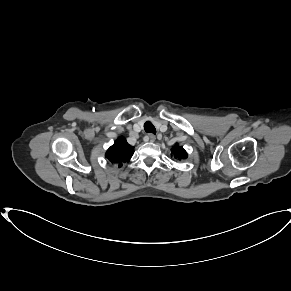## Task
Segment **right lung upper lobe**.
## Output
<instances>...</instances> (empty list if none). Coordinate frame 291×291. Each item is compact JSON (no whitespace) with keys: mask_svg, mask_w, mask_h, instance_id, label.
I'll return each mask as SVG.
<instances>
[{"mask_svg":"<svg viewBox=\"0 0 291 291\" xmlns=\"http://www.w3.org/2000/svg\"><path fill=\"white\" fill-rule=\"evenodd\" d=\"M134 147L130 146L124 137H119L114 144L107 150L105 156L112 163L118 164L128 162L133 155Z\"/></svg>","mask_w":291,"mask_h":291,"instance_id":"right-lung-upper-lobe-1","label":"right lung upper lobe"}]
</instances>
